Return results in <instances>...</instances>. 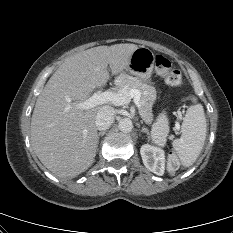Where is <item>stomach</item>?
<instances>
[{
  "mask_svg": "<svg viewBox=\"0 0 233 233\" xmlns=\"http://www.w3.org/2000/svg\"><path fill=\"white\" fill-rule=\"evenodd\" d=\"M155 55L147 47H138L131 55L126 70L136 76L143 83L151 84V75L154 68Z\"/></svg>",
  "mask_w": 233,
  "mask_h": 233,
  "instance_id": "stomach-1",
  "label": "stomach"
}]
</instances>
